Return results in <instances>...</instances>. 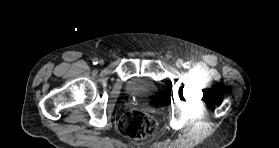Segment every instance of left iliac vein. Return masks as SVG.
I'll list each match as a JSON object with an SVG mask.
<instances>
[{"instance_id": "1", "label": "left iliac vein", "mask_w": 279, "mask_h": 148, "mask_svg": "<svg viewBox=\"0 0 279 148\" xmlns=\"http://www.w3.org/2000/svg\"><path fill=\"white\" fill-rule=\"evenodd\" d=\"M176 66H177L178 68H181V67L183 66L182 61H181V60H178V61L176 62Z\"/></svg>"}]
</instances>
